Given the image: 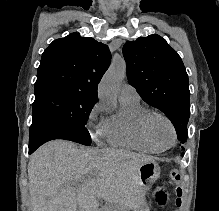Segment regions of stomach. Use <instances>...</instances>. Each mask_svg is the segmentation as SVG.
I'll return each instance as SVG.
<instances>
[{
  "instance_id": "1",
  "label": "stomach",
  "mask_w": 219,
  "mask_h": 211,
  "mask_svg": "<svg viewBox=\"0 0 219 211\" xmlns=\"http://www.w3.org/2000/svg\"><path fill=\"white\" fill-rule=\"evenodd\" d=\"M160 175V166L157 162H148L143 164L139 169V181L141 185L148 188ZM138 211H150L148 207L142 206Z\"/></svg>"
}]
</instances>
